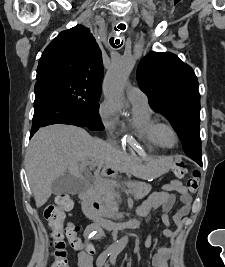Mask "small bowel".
I'll return each mask as SVG.
<instances>
[{"label":"small bowel","instance_id":"small-bowel-1","mask_svg":"<svg viewBox=\"0 0 225 267\" xmlns=\"http://www.w3.org/2000/svg\"><path fill=\"white\" fill-rule=\"evenodd\" d=\"M177 192L180 197L181 207L174 215V223L177 227H180L183 223V218L189 213L190 206L192 202V197L187 189L179 181H172L163 186V189L158 192L151 194L137 209V214L140 217L148 215L151 211L160 209L161 219L165 225L162 233L168 239L175 238V232L171 229V221L169 218V211L172 209L175 204V194ZM69 209H67L68 211ZM95 226L87 227L85 231V237L90 238L92 235H95ZM87 249L78 250V261L80 267H91V256L93 255L95 249L91 243H88ZM151 245V238L148 237L145 246L149 247ZM171 254V248L168 247H159L151 260L153 267H169L168 259Z\"/></svg>","mask_w":225,"mask_h":267}]
</instances>
